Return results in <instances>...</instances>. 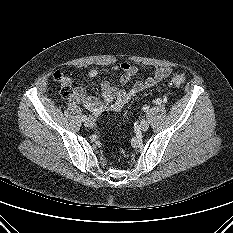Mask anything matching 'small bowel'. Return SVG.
Listing matches in <instances>:
<instances>
[{
    "instance_id": "1",
    "label": "small bowel",
    "mask_w": 233,
    "mask_h": 233,
    "mask_svg": "<svg viewBox=\"0 0 233 233\" xmlns=\"http://www.w3.org/2000/svg\"><path fill=\"white\" fill-rule=\"evenodd\" d=\"M111 71L120 72L119 81L122 84L128 83L138 74V68L130 63H121L110 68L92 69L88 73L89 78L98 77ZM172 69L169 67H160L149 72L143 79L136 81L131 88L116 87L111 80H105L101 83L100 95H87L83 88L73 89L72 99L82 104L86 109L100 115L107 111H118L126 105L139 92L153 87L169 77ZM64 82L71 83V79L66 77Z\"/></svg>"
}]
</instances>
